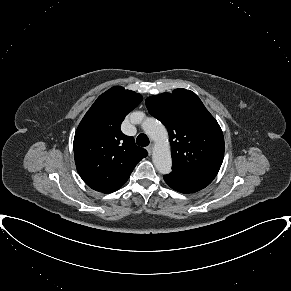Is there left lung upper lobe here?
I'll use <instances>...</instances> for the list:
<instances>
[{
	"label": "left lung upper lobe",
	"mask_w": 291,
	"mask_h": 291,
	"mask_svg": "<svg viewBox=\"0 0 291 291\" xmlns=\"http://www.w3.org/2000/svg\"><path fill=\"white\" fill-rule=\"evenodd\" d=\"M148 111L167 128L172 148V171L213 180L223 161L224 137L214 117L192 91L151 96Z\"/></svg>",
	"instance_id": "1"
}]
</instances>
